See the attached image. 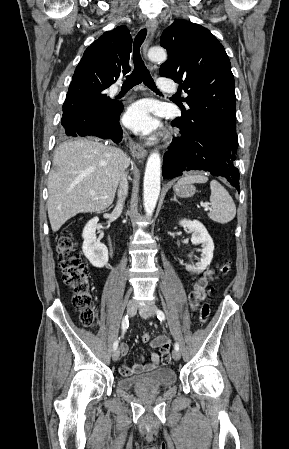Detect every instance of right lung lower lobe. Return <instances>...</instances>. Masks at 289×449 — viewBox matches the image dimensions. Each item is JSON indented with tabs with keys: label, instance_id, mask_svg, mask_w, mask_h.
<instances>
[{
	"label": "right lung lower lobe",
	"instance_id": "right-lung-lower-lobe-1",
	"mask_svg": "<svg viewBox=\"0 0 289 449\" xmlns=\"http://www.w3.org/2000/svg\"><path fill=\"white\" fill-rule=\"evenodd\" d=\"M106 89L91 81L73 79L63 104L61 124L67 136H97L116 143L122 140L119 117L123 106L111 100L104 104L100 93Z\"/></svg>",
	"mask_w": 289,
	"mask_h": 449
}]
</instances>
